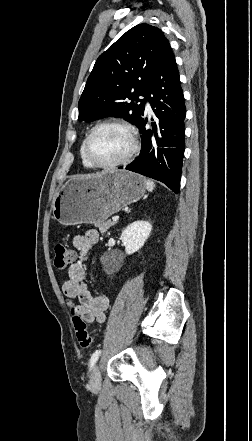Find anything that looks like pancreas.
I'll return each instance as SVG.
<instances>
[{"mask_svg":"<svg viewBox=\"0 0 252 441\" xmlns=\"http://www.w3.org/2000/svg\"><path fill=\"white\" fill-rule=\"evenodd\" d=\"M115 224L114 221H105V222H96L95 226L99 229L101 234H105L110 227H112Z\"/></svg>","mask_w":252,"mask_h":441,"instance_id":"obj_1","label":"pancreas"}]
</instances>
